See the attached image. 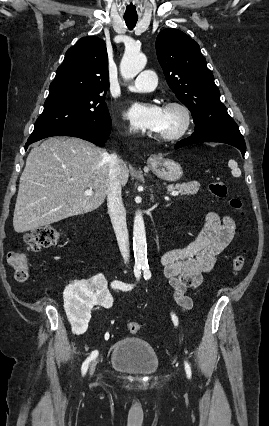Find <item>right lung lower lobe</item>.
<instances>
[{"mask_svg": "<svg viewBox=\"0 0 269 426\" xmlns=\"http://www.w3.org/2000/svg\"><path fill=\"white\" fill-rule=\"evenodd\" d=\"M111 122L109 124L106 125H91V124H82L76 127H73L71 129L68 130H62L59 132H54V133H50L47 134L43 137H40L38 139L35 140H29L27 141L26 145H25V149L28 148V146L31 143H34L38 140H41L43 138L46 137H50V136H73V137H78V138H82L85 139L87 141H90L100 147H102L111 130Z\"/></svg>", "mask_w": 269, "mask_h": 426, "instance_id": "98d812e1", "label": "right lung lower lobe"}]
</instances>
